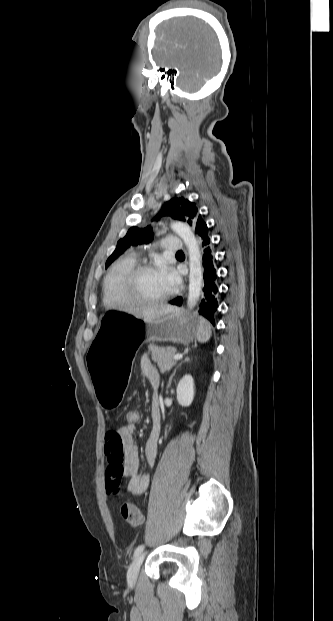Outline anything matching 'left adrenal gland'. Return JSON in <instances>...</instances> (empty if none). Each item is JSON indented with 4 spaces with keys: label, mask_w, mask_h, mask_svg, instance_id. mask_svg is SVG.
Here are the masks:
<instances>
[{
    "label": "left adrenal gland",
    "mask_w": 333,
    "mask_h": 621,
    "mask_svg": "<svg viewBox=\"0 0 333 621\" xmlns=\"http://www.w3.org/2000/svg\"><path fill=\"white\" fill-rule=\"evenodd\" d=\"M189 361H190V358L187 357V358H185L184 362H181L180 364H178V366L174 369L173 373L171 374V376L169 378V382H168L167 388L170 386L172 378L176 374L177 369L180 368L183 363L189 362Z\"/></svg>",
    "instance_id": "1"
}]
</instances>
